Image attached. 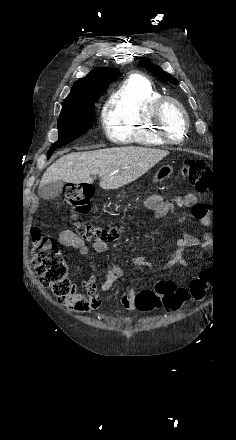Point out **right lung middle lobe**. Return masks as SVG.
Instances as JSON below:
<instances>
[{"mask_svg": "<svg viewBox=\"0 0 236 440\" xmlns=\"http://www.w3.org/2000/svg\"><path fill=\"white\" fill-rule=\"evenodd\" d=\"M99 95L100 93L63 103L58 119L59 138L50 150L68 144L92 127L94 103Z\"/></svg>", "mask_w": 236, "mask_h": 440, "instance_id": "dd1d6c3e", "label": "right lung middle lobe"}]
</instances>
